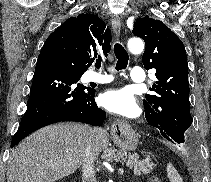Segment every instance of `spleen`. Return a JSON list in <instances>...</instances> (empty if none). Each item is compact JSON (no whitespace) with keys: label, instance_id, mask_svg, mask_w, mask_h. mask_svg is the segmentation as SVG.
<instances>
[{"label":"spleen","instance_id":"spleen-1","mask_svg":"<svg viewBox=\"0 0 211 182\" xmlns=\"http://www.w3.org/2000/svg\"><path fill=\"white\" fill-rule=\"evenodd\" d=\"M167 177L170 180V182H183L181 176L179 175L178 171L175 169V167L172 165V163L167 164Z\"/></svg>","mask_w":211,"mask_h":182}]
</instances>
